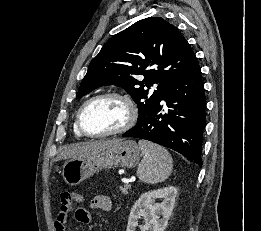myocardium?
<instances>
[{
  "label": "myocardium",
  "mask_w": 261,
  "mask_h": 231,
  "mask_svg": "<svg viewBox=\"0 0 261 231\" xmlns=\"http://www.w3.org/2000/svg\"><path fill=\"white\" fill-rule=\"evenodd\" d=\"M105 98H117L122 100L125 105L127 106L128 109V119L127 122L120 128L113 130V131H109V132H105V133H90L88 132L82 123V117L83 114L85 112V110L94 102L101 100V99H105ZM138 118V110L136 107L135 102L133 101V99L124 93L121 92H106V93H101L99 95H96L90 99H88L78 110V113L76 115V126L78 131L80 132V134H82L85 137H89V138H104V137H108V136H115V135H120V134H124L127 131H129L130 129L133 128V126L135 125L136 121Z\"/></svg>",
  "instance_id": "1"
}]
</instances>
